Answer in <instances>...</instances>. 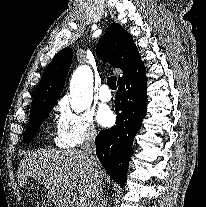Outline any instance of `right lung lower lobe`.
I'll return each instance as SVG.
<instances>
[{"mask_svg": "<svg viewBox=\"0 0 206 207\" xmlns=\"http://www.w3.org/2000/svg\"><path fill=\"white\" fill-rule=\"evenodd\" d=\"M145 67L141 61L134 70L118 80L115 98L116 125L96 137V154L110 177L124 186L132 155L133 138L146 115Z\"/></svg>", "mask_w": 206, "mask_h": 207, "instance_id": "98d812e1", "label": "right lung lower lobe"}]
</instances>
